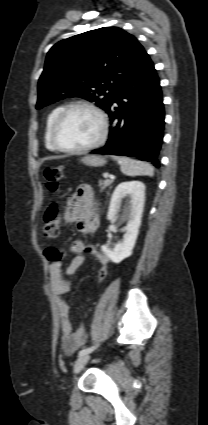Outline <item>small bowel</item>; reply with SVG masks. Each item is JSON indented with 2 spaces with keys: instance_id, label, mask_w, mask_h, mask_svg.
Wrapping results in <instances>:
<instances>
[{
  "instance_id": "1",
  "label": "small bowel",
  "mask_w": 208,
  "mask_h": 425,
  "mask_svg": "<svg viewBox=\"0 0 208 425\" xmlns=\"http://www.w3.org/2000/svg\"><path fill=\"white\" fill-rule=\"evenodd\" d=\"M67 223H76L77 228L84 234H94L98 227V217L95 212V199L92 188L87 184H81L70 196L64 214ZM64 254L69 252L76 256L69 265L63 269L61 261L52 262L49 267L50 290L55 297L58 317L61 326L62 347L66 354L73 353L86 341V332L82 327L72 328L69 319V306L64 296L70 291V280L78 268L84 263L86 255L92 256L107 267L108 257L98 251L95 246L87 245L81 239L72 242L68 249L62 250Z\"/></svg>"
}]
</instances>
